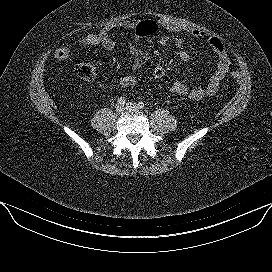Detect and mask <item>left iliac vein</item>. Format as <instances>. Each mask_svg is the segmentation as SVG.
Wrapping results in <instances>:
<instances>
[{
  "label": "left iliac vein",
  "instance_id": "1",
  "mask_svg": "<svg viewBox=\"0 0 272 272\" xmlns=\"http://www.w3.org/2000/svg\"><path fill=\"white\" fill-rule=\"evenodd\" d=\"M126 110L138 112L140 110V108H139L138 104H136L134 102H128L126 104Z\"/></svg>",
  "mask_w": 272,
  "mask_h": 272
}]
</instances>
